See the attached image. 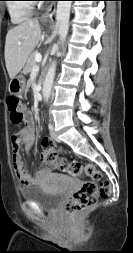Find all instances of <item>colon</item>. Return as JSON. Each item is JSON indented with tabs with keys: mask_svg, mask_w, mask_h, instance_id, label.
<instances>
[{
	"mask_svg": "<svg viewBox=\"0 0 133 253\" xmlns=\"http://www.w3.org/2000/svg\"><path fill=\"white\" fill-rule=\"evenodd\" d=\"M10 120L18 125L26 119V107L16 96H10L6 100ZM41 142L45 150V160L54 163L57 168L71 176H81L86 174L97 182H87L80 189L75 191L65 204V211L70 215L79 214L91 208L99 197H107L111 192V184L107 179L102 178L100 172L92 165L82 166L78 161L67 160L58 157L56 145L52 142V137H41Z\"/></svg>",
	"mask_w": 133,
	"mask_h": 253,
	"instance_id": "5ec220e1",
	"label": "colon"
}]
</instances>
